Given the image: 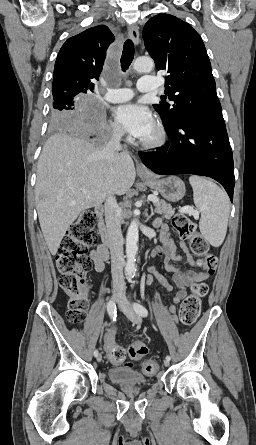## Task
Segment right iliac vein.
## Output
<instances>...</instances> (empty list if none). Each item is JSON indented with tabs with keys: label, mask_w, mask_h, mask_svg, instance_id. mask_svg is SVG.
Listing matches in <instances>:
<instances>
[{
	"label": "right iliac vein",
	"mask_w": 256,
	"mask_h": 445,
	"mask_svg": "<svg viewBox=\"0 0 256 445\" xmlns=\"http://www.w3.org/2000/svg\"><path fill=\"white\" fill-rule=\"evenodd\" d=\"M120 299H121L120 293L114 292L113 295H112V300L111 301L115 304V303H118L120 301ZM101 360H102V356L100 354V355L97 356V361L100 362Z\"/></svg>",
	"instance_id": "obj_1"
}]
</instances>
